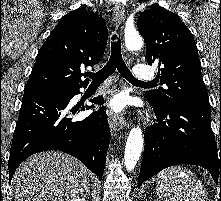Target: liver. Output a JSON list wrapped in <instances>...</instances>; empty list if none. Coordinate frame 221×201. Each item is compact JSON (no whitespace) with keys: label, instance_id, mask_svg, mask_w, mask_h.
<instances>
[{"label":"liver","instance_id":"liver-1","mask_svg":"<svg viewBox=\"0 0 221 201\" xmlns=\"http://www.w3.org/2000/svg\"><path fill=\"white\" fill-rule=\"evenodd\" d=\"M90 172L76 158L59 151L34 154L12 178L15 201H71L90 187Z\"/></svg>","mask_w":221,"mask_h":201}]
</instances>
